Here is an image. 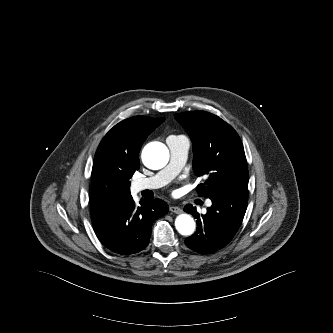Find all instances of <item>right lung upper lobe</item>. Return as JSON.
I'll return each mask as SVG.
<instances>
[{"instance_id": "1", "label": "right lung upper lobe", "mask_w": 333, "mask_h": 333, "mask_svg": "<svg viewBox=\"0 0 333 333\" xmlns=\"http://www.w3.org/2000/svg\"><path fill=\"white\" fill-rule=\"evenodd\" d=\"M164 120L135 116L109 130L94 158L92 202L110 204L130 196L129 179L140 167V148L148 135Z\"/></svg>"}]
</instances>
